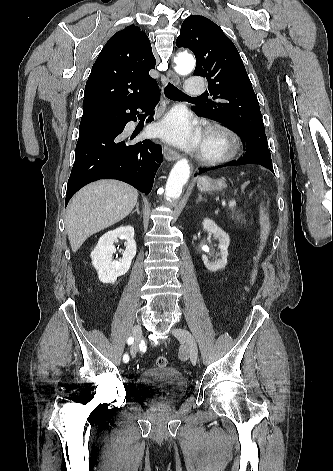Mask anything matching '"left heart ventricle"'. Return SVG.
I'll return each mask as SVG.
<instances>
[{"label":"left heart ventricle","mask_w":333,"mask_h":471,"mask_svg":"<svg viewBox=\"0 0 333 471\" xmlns=\"http://www.w3.org/2000/svg\"><path fill=\"white\" fill-rule=\"evenodd\" d=\"M202 144H204L207 149L209 150H217L220 148V142L217 140V139H212V140H207V141H203Z\"/></svg>","instance_id":"1"}]
</instances>
